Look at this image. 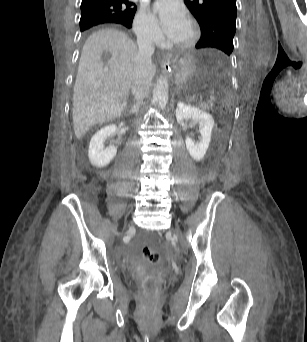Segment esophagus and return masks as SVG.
<instances>
[{"label":"esophagus","mask_w":307,"mask_h":342,"mask_svg":"<svg viewBox=\"0 0 307 342\" xmlns=\"http://www.w3.org/2000/svg\"><path fill=\"white\" fill-rule=\"evenodd\" d=\"M171 60H172L171 56L165 57V61H166V62H170Z\"/></svg>","instance_id":"esophagus-1"}]
</instances>
